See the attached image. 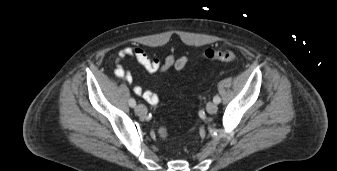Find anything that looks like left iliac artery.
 Returning a JSON list of instances; mask_svg holds the SVG:
<instances>
[{
    "instance_id": "1",
    "label": "left iliac artery",
    "mask_w": 337,
    "mask_h": 171,
    "mask_svg": "<svg viewBox=\"0 0 337 171\" xmlns=\"http://www.w3.org/2000/svg\"><path fill=\"white\" fill-rule=\"evenodd\" d=\"M213 101L214 103L219 104L221 102V98L219 96H214Z\"/></svg>"
}]
</instances>
